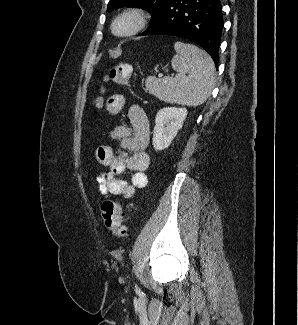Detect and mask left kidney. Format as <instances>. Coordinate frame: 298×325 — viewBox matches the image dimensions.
<instances>
[{
  "label": "left kidney",
  "instance_id": "obj_1",
  "mask_svg": "<svg viewBox=\"0 0 298 325\" xmlns=\"http://www.w3.org/2000/svg\"><path fill=\"white\" fill-rule=\"evenodd\" d=\"M188 114L184 106H163L155 116V126L153 130V146L155 150L168 148L174 136H177L179 128Z\"/></svg>",
  "mask_w": 298,
  "mask_h": 325
}]
</instances>
